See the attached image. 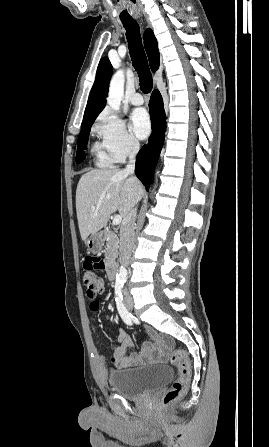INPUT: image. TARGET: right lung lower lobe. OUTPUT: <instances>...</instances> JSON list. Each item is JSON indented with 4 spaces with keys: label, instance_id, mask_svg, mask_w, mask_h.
Wrapping results in <instances>:
<instances>
[{
    "label": "right lung lower lobe",
    "instance_id": "98d812e1",
    "mask_svg": "<svg viewBox=\"0 0 269 447\" xmlns=\"http://www.w3.org/2000/svg\"><path fill=\"white\" fill-rule=\"evenodd\" d=\"M150 116L152 120V134L147 145H144L136 157L135 173L149 190L153 180L154 167L159 158L166 129V117L163 100L158 90H154L150 98Z\"/></svg>",
    "mask_w": 269,
    "mask_h": 447
}]
</instances>
